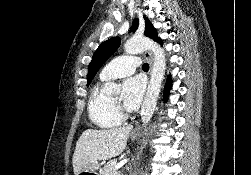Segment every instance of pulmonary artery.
<instances>
[{"label":"pulmonary artery","instance_id":"1","mask_svg":"<svg viewBox=\"0 0 251 175\" xmlns=\"http://www.w3.org/2000/svg\"><path fill=\"white\" fill-rule=\"evenodd\" d=\"M136 55H121L115 62H107V66L101 71L99 77L103 81L129 76L137 67H142V62H136Z\"/></svg>","mask_w":251,"mask_h":175}]
</instances>
